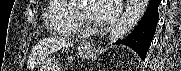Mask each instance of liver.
<instances>
[{
	"mask_svg": "<svg viewBox=\"0 0 181 71\" xmlns=\"http://www.w3.org/2000/svg\"><path fill=\"white\" fill-rule=\"evenodd\" d=\"M73 42L65 38H46L40 41L30 54L27 67L33 69L34 66L44 59L48 54L56 52L62 48L70 47Z\"/></svg>",
	"mask_w": 181,
	"mask_h": 71,
	"instance_id": "liver-1",
	"label": "liver"
}]
</instances>
